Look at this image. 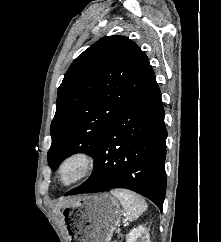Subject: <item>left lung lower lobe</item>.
Listing matches in <instances>:
<instances>
[{"mask_svg": "<svg viewBox=\"0 0 221 242\" xmlns=\"http://www.w3.org/2000/svg\"><path fill=\"white\" fill-rule=\"evenodd\" d=\"M166 137L161 93L154 80L104 132L89 179L65 195L126 188L162 209L166 191Z\"/></svg>", "mask_w": 221, "mask_h": 242, "instance_id": "left-lung-lower-lobe-1", "label": "left lung lower lobe"}]
</instances>
